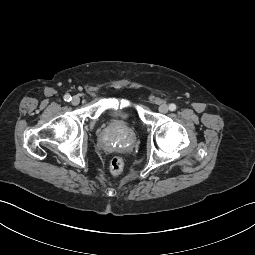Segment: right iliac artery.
I'll return each instance as SVG.
<instances>
[{
  "label": "right iliac artery",
  "mask_w": 255,
  "mask_h": 255,
  "mask_svg": "<svg viewBox=\"0 0 255 255\" xmlns=\"http://www.w3.org/2000/svg\"><path fill=\"white\" fill-rule=\"evenodd\" d=\"M71 99H72V97L69 94H66L64 96V100L67 101V102L71 101Z\"/></svg>",
  "instance_id": "obj_1"
}]
</instances>
